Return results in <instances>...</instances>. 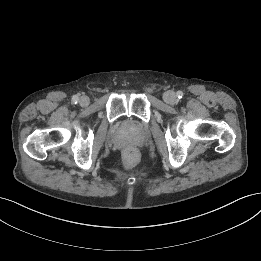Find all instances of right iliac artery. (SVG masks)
<instances>
[{
  "mask_svg": "<svg viewBox=\"0 0 261 261\" xmlns=\"http://www.w3.org/2000/svg\"><path fill=\"white\" fill-rule=\"evenodd\" d=\"M78 101H79V98H78L77 96H73V97H72V102H73V104H77Z\"/></svg>",
  "mask_w": 261,
  "mask_h": 261,
  "instance_id": "1",
  "label": "right iliac artery"
}]
</instances>
